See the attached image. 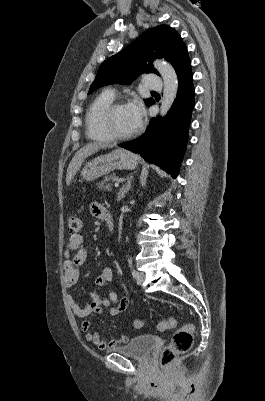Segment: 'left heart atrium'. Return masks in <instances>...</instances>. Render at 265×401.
<instances>
[{"label":"left heart atrium","instance_id":"left-heart-atrium-1","mask_svg":"<svg viewBox=\"0 0 265 401\" xmlns=\"http://www.w3.org/2000/svg\"><path fill=\"white\" fill-rule=\"evenodd\" d=\"M126 108L134 128H137L142 123L144 117V108L141 101L135 99L131 101Z\"/></svg>","mask_w":265,"mask_h":401}]
</instances>
